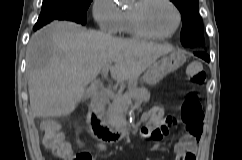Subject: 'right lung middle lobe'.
<instances>
[{"label": "right lung middle lobe", "mask_w": 242, "mask_h": 160, "mask_svg": "<svg viewBox=\"0 0 242 160\" xmlns=\"http://www.w3.org/2000/svg\"><path fill=\"white\" fill-rule=\"evenodd\" d=\"M92 0H43L42 10L34 30L52 20H70L84 25L86 12Z\"/></svg>", "instance_id": "right-lung-middle-lobe-1"}]
</instances>
